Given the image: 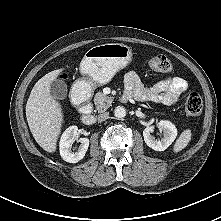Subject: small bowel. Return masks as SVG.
Here are the masks:
<instances>
[{
  "mask_svg": "<svg viewBox=\"0 0 221 221\" xmlns=\"http://www.w3.org/2000/svg\"><path fill=\"white\" fill-rule=\"evenodd\" d=\"M125 98L134 97L141 102L173 105L180 95L186 91L187 82L182 77L165 78L151 87H145L135 72L125 75Z\"/></svg>",
  "mask_w": 221,
  "mask_h": 221,
  "instance_id": "1",
  "label": "small bowel"
}]
</instances>
